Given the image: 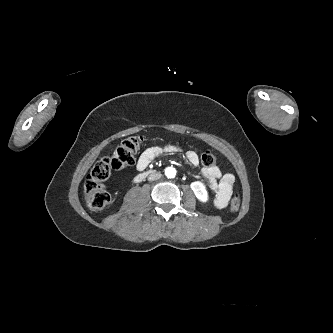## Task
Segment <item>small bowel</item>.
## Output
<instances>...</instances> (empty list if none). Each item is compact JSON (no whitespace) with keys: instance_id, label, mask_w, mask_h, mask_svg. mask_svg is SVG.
Returning <instances> with one entry per match:
<instances>
[{"instance_id":"c3829d8e","label":"small bowel","mask_w":333,"mask_h":333,"mask_svg":"<svg viewBox=\"0 0 333 333\" xmlns=\"http://www.w3.org/2000/svg\"><path fill=\"white\" fill-rule=\"evenodd\" d=\"M181 151L182 149L176 144L152 146L140 155L136 168L138 171H144L155 158L165 154L179 153ZM185 157L192 165L199 163L198 154L192 150H187ZM201 173L215 193V206L219 209L226 207L232 196L234 176L230 173L222 174L217 166L203 167Z\"/></svg>"}]
</instances>
